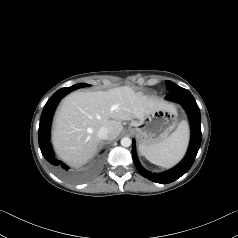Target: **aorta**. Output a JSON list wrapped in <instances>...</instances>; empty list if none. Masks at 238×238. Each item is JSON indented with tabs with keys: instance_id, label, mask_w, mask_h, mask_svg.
Listing matches in <instances>:
<instances>
[{
	"instance_id": "aorta-1",
	"label": "aorta",
	"mask_w": 238,
	"mask_h": 238,
	"mask_svg": "<svg viewBox=\"0 0 238 238\" xmlns=\"http://www.w3.org/2000/svg\"><path fill=\"white\" fill-rule=\"evenodd\" d=\"M131 144H132V140H131L129 137H123V138L121 139V145H122L123 147H130Z\"/></svg>"
}]
</instances>
